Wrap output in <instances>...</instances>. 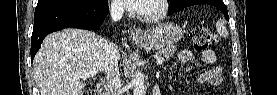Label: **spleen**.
<instances>
[{"instance_id": "obj_1", "label": "spleen", "mask_w": 277, "mask_h": 95, "mask_svg": "<svg viewBox=\"0 0 277 95\" xmlns=\"http://www.w3.org/2000/svg\"><path fill=\"white\" fill-rule=\"evenodd\" d=\"M216 30L220 36H222L224 38L228 37V31H227L225 25L223 24V22L218 21L216 23Z\"/></svg>"}]
</instances>
